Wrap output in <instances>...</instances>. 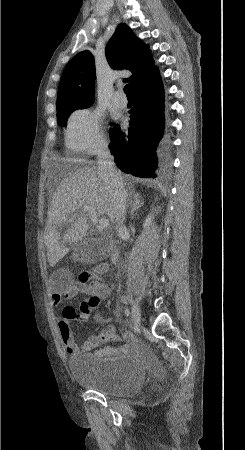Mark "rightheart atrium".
<instances>
[{"label": "right heart atrium", "mask_w": 245, "mask_h": 450, "mask_svg": "<svg viewBox=\"0 0 245 450\" xmlns=\"http://www.w3.org/2000/svg\"><path fill=\"white\" fill-rule=\"evenodd\" d=\"M102 115L93 109L73 112L67 122L65 143L76 153L90 155L101 151L105 144Z\"/></svg>", "instance_id": "right-heart-atrium-1"}]
</instances>
